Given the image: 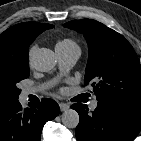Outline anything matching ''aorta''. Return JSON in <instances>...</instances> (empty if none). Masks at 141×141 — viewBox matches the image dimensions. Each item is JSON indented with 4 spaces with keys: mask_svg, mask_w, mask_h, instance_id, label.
Masks as SVG:
<instances>
[{
    "mask_svg": "<svg viewBox=\"0 0 141 141\" xmlns=\"http://www.w3.org/2000/svg\"><path fill=\"white\" fill-rule=\"evenodd\" d=\"M32 66L40 72H48L55 66V56L53 51L47 48L38 49L31 56ZM62 123L67 128H76L79 123V114L73 110H65L61 116Z\"/></svg>",
    "mask_w": 141,
    "mask_h": 141,
    "instance_id": "762f6f07",
    "label": "aorta"
}]
</instances>
